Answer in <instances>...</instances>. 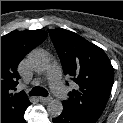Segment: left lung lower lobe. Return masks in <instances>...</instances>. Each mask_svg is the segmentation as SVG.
Wrapping results in <instances>:
<instances>
[{
  "label": "left lung lower lobe",
  "mask_w": 123,
  "mask_h": 123,
  "mask_svg": "<svg viewBox=\"0 0 123 123\" xmlns=\"http://www.w3.org/2000/svg\"><path fill=\"white\" fill-rule=\"evenodd\" d=\"M53 123H93V122L82 119L72 114L68 109L63 107L62 114L56 118H53Z\"/></svg>",
  "instance_id": "0a47b994"
}]
</instances>
